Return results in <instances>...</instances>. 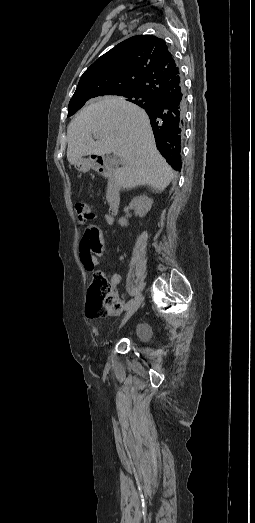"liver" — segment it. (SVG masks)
Listing matches in <instances>:
<instances>
[{"label":"liver","mask_w":255,"mask_h":523,"mask_svg":"<svg viewBox=\"0 0 255 523\" xmlns=\"http://www.w3.org/2000/svg\"><path fill=\"white\" fill-rule=\"evenodd\" d=\"M67 142L69 164H76L82 156L118 154L123 168L116 170V178L122 188L152 186L163 192L174 178L171 166L156 148L145 110L124 98L89 102L70 122Z\"/></svg>","instance_id":"1"}]
</instances>
